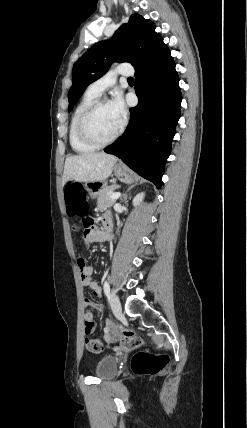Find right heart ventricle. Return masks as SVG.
<instances>
[{
    "instance_id": "obj_1",
    "label": "right heart ventricle",
    "mask_w": 247,
    "mask_h": 428,
    "mask_svg": "<svg viewBox=\"0 0 247 428\" xmlns=\"http://www.w3.org/2000/svg\"><path fill=\"white\" fill-rule=\"evenodd\" d=\"M98 95L87 90L82 96L81 100L75 107L69 125V142L72 149L79 154H87L96 150V147L84 142L78 133V121L84 110L95 100Z\"/></svg>"
}]
</instances>
